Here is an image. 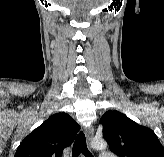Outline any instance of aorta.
Returning a JSON list of instances; mask_svg holds the SVG:
<instances>
[{
	"mask_svg": "<svg viewBox=\"0 0 164 157\" xmlns=\"http://www.w3.org/2000/svg\"><path fill=\"white\" fill-rule=\"evenodd\" d=\"M91 147L96 150H105L107 148V143L103 139L93 140Z\"/></svg>",
	"mask_w": 164,
	"mask_h": 157,
	"instance_id": "aorta-1",
	"label": "aorta"
}]
</instances>
